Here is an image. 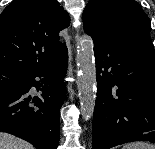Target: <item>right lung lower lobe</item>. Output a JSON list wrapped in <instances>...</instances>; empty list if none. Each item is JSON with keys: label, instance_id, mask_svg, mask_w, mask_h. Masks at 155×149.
Wrapping results in <instances>:
<instances>
[{"label": "right lung lower lobe", "instance_id": "98d812e1", "mask_svg": "<svg viewBox=\"0 0 155 149\" xmlns=\"http://www.w3.org/2000/svg\"><path fill=\"white\" fill-rule=\"evenodd\" d=\"M67 59L66 52L51 65L28 73L19 90L0 91V131L18 136L37 149L57 148ZM33 86L42 91L40 98L29 95Z\"/></svg>", "mask_w": 155, "mask_h": 149}]
</instances>
